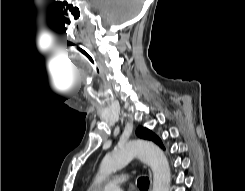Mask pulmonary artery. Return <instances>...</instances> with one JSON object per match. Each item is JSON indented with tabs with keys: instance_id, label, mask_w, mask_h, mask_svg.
<instances>
[{
	"instance_id": "e3ab8cb5",
	"label": "pulmonary artery",
	"mask_w": 245,
	"mask_h": 191,
	"mask_svg": "<svg viewBox=\"0 0 245 191\" xmlns=\"http://www.w3.org/2000/svg\"><path fill=\"white\" fill-rule=\"evenodd\" d=\"M127 178L124 175H118L110 179L102 188V191H122L121 185Z\"/></svg>"
}]
</instances>
